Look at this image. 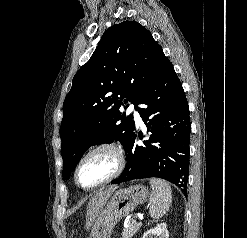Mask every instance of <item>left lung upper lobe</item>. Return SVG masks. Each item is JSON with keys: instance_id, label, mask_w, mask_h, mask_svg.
Instances as JSON below:
<instances>
[{"instance_id": "left-lung-upper-lobe-1", "label": "left lung upper lobe", "mask_w": 247, "mask_h": 238, "mask_svg": "<svg viewBox=\"0 0 247 238\" xmlns=\"http://www.w3.org/2000/svg\"><path fill=\"white\" fill-rule=\"evenodd\" d=\"M165 58L150 31L138 22L124 21L105 31L63 103V179L90 146L116 140L127 147L135 130L133 115L125 117L119 108L130 101L138 109Z\"/></svg>"}]
</instances>
